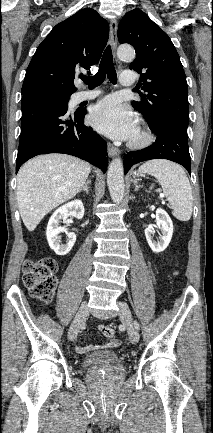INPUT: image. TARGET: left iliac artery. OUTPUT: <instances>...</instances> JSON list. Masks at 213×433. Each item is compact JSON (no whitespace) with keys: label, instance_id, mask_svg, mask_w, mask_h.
<instances>
[{"label":"left iliac artery","instance_id":"44dca946","mask_svg":"<svg viewBox=\"0 0 213 433\" xmlns=\"http://www.w3.org/2000/svg\"><path fill=\"white\" fill-rule=\"evenodd\" d=\"M134 325H135L136 329H139V324L136 321L134 322Z\"/></svg>","mask_w":213,"mask_h":433}]
</instances>
